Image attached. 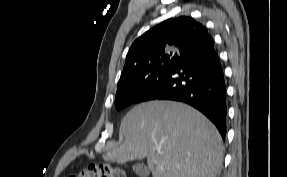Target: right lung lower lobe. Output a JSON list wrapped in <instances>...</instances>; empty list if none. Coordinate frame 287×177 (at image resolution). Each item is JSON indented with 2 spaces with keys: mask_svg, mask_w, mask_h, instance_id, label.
Returning a JSON list of instances; mask_svg holds the SVG:
<instances>
[{
  "mask_svg": "<svg viewBox=\"0 0 287 177\" xmlns=\"http://www.w3.org/2000/svg\"><path fill=\"white\" fill-rule=\"evenodd\" d=\"M175 100L209 118L226 136V85L223 69L208 31L202 32L179 56L176 66L148 87L134 102Z\"/></svg>",
  "mask_w": 287,
  "mask_h": 177,
  "instance_id": "98d812e1",
  "label": "right lung lower lobe"
}]
</instances>
